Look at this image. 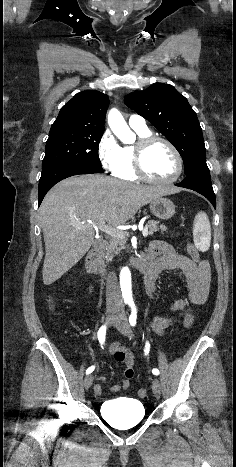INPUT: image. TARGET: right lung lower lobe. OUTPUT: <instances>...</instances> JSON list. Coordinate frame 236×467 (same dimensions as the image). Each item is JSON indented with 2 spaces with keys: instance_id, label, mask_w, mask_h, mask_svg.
Masks as SVG:
<instances>
[{
  "instance_id": "98d812e1",
  "label": "right lung lower lobe",
  "mask_w": 236,
  "mask_h": 467,
  "mask_svg": "<svg viewBox=\"0 0 236 467\" xmlns=\"http://www.w3.org/2000/svg\"><path fill=\"white\" fill-rule=\"evenodd\" d=\"M101 173L77 163H59L42 169L39 180L38 201L41 204L46 193L59 181L78 174Z\"/></svg>"
}]
</instances>
